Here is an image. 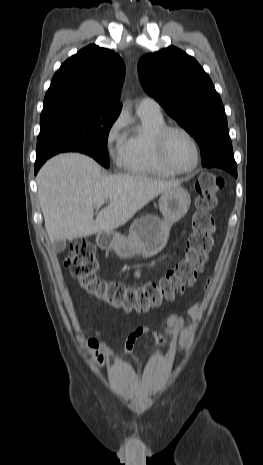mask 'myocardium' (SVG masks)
<instances>
[{
	"instance_id": "1",
	"label": "myocardium",
	"mask_w": 263,
	"mask_h": 465,
	"mask_svg": "<svg viewBox=\"0 0 263 465\" xmlns=\"http://www.w3.org/2000/svg\"><path fill=\"white\" fill-rule=\"evenodd\" d=\"M178 132L185 135L195 148V162L188 169H180L174 166L167 157V140L171 133ZM154 146L159 163L174 174H189L196 170L201 159V149L195 136L186 128L177 125H165L154 135Z\"/></svg>"
}]
</instances>
